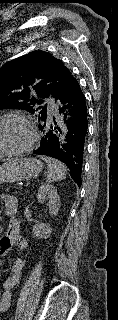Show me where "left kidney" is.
<instances>
[{
	"mask_svg": "<svg viewBox=\"0 0 118 320\" xmlns=\"http://www.w3.org/2000/svg\"><path fill=\"white\" fill-rule=\"evenodd\" d=\"M40 203H44L48 200L49 213L52 216H57L60 209V197L57 193V189L49 184L42 185L36 195ZM50 232L49 224H39L34 226L33 234L34 237L43 238Z\"/></svg>",
	"mask_w": 118,
	"mask_h": 320,
	"instance_id": "5707ae66",
	"label": "left kidney"
}]
</instances>
